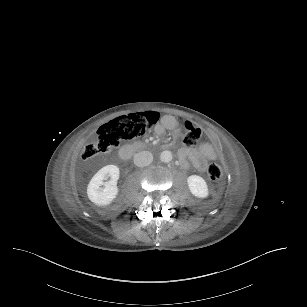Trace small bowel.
I'll list each match as a JSON object with an SVG mask.
<instances>
[{"mask_svg":"<svg viewBox=\"0 0 307 307\" xmlns=\"http://www.w3.org/2000/svg\"><path fill=\"white\" fill-rule=\"evenodd\" d=\"M167 128L172 131L173 140L180 138V130L175 121H168ZM181 161L185 167L189 166V162L199 171H205L208 162L215 161L218 158L216 148L209 142H204L196 148H182L179 151Z\"/></svg>","mask_w":307,"mask_h":307,"instance_id":"small-bowel-1","label":"small bowel"}]
</instances>
